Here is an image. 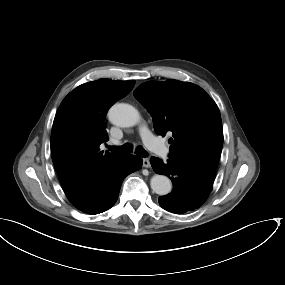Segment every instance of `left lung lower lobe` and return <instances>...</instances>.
<instances>
[{
    "label": "left lung lower lobe",
    "mask_w": 285,
    "mask_h": 285,
    "mask_svg": "<svg viewBox=\"0 0 285 285\" xmlns=\"http://www.w3.org/2000/svg\"><path fill=\"white\" fill-rule=\"evenodd\" d=\"M151 166L157 174L170 177L173 190L158 201L160 206L172 213L183 214L199 208L208 198L216 172L187 162L152 157Z\"/></svg>",
    "instance_id": "0a47b994"
}]
</instances>
